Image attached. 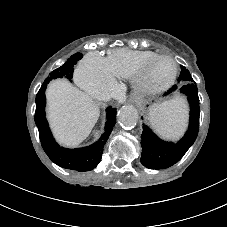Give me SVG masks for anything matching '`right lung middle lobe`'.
<instances>
[{"label": "right lung middle lobe", "instance_id": "obj_1", "mask_svg": "<svg viewBox=\"0 0 227 227\" xmlns=\"http://www.w3.org/2000/svg\"><path fill=\"white\" fill-rule=\"evenodd\" d=\"M82 58L81 53H76L72 55L61 67L53 70L50 73V76L47 77L42 86H47V84L56 78H67L68 80L72 79L74 68L73 66L76 64L78 60Z\"/></svg>", "mask_w": 227, "mask_h": 227}]
</instances>
